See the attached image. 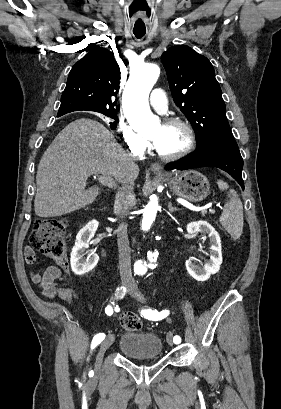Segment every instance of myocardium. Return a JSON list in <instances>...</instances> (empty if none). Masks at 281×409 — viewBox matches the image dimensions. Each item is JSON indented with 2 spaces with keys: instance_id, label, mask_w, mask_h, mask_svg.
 <instances>
[{
  "instance_id": "1",
  "label": "myocardium",
  "mask_w": 281,
  "mask_h": 409,
  "mask_svg": "<svg viewBox=\"0 0 281 409\" xmlns=\"http://www.w3.org/2000/svg\"><path fill=\"white\" fill-rule=\"evenodd\" d=\"M162 125L164 126H170V125H179L181 126L185 133H186V144L183 146V148H181L179 151L175 152V153H171V154H166V153H162L160 152L158 149H156L151 143L148 142L149 147L156 153V155L164 160V161H175V160H179L183 157H185L186 155H188L193 148L195 147V143H196V135L194 132L193 127L190 125L189 122H187L186 120L179 118V117H169L166 118L163 122Z\"/></svg>"
}]
</instances>
